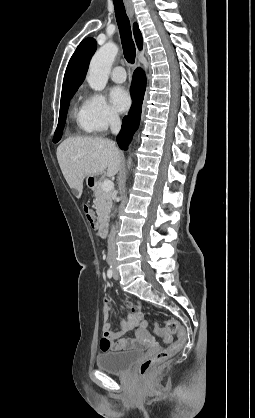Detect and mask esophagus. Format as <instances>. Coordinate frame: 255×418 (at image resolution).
<instances>
[{"label":"esophagus","instance_id":"esophagus-1","mask_svg":"<svg viewBox=\"0 0 255 418\" xmlns=\"http://www.w3.org/2000/svg\"><path fill=\"white\" fill-rule=\"evenodd\" d=\"M126 6H127V9H128V12H129L130 17L133 18L134 9H133L132 3L129 2V0H126Z\"/></svg>","mask_w":255,"mask_h":418}]
</instances>
